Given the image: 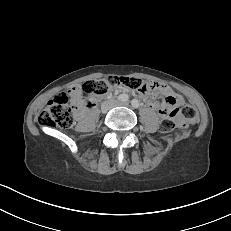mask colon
<instances>
[{"label":"colon","instance_id":"1","mask_svg":"<svg viewBox=\"0 0 231 231\" xmlns=\"http://www.w3.org/2000/svg\"><path fill=\"white\" fill-rule=\"evenodd\" d=\"M122 86L130 91L153 95L155 84H147L141 79L131 76H108L99 80H91L80 87L82 98H69L66 93L57 94L40 113L38 122L45 128H69L74 123L75 112L81 107H92L95 99L104 96L111 88ZM161 128L164 132H171L178 127H186L197 117L196 109L185 104L181 108L169 110L164 115Z\"/></svg>","mask_w":231,"mask_h":231}]
</instances>
